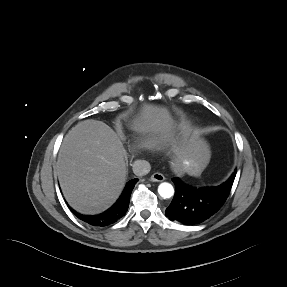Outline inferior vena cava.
<instances>
[{
  "label": "inferior vena cava",
  "mask_w": 287,
  "mask_h": 287,
  "mask_svg": "<svg viewBox=\"0 0 287 287\" xmlns=\"http://www.w3.org/2000/svg\"><path fill=\"white\" fill-rule=\"evenodd\" d=\"M132 169L135 175L144 176L150 172L151 166L146 160H136L132 164Z\"/></svg>",
  "instance_id": "inferior-vena-cava-1"
}]
</instances>
